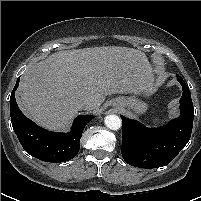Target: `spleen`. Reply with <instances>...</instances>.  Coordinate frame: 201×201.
<instances>
[{"mask_svg": "<svg viewBox=\"0 0 201 201\" xmlns=\"http://www.w3.org/2000/svg\"><path fill=\"white\" fill-rule=\"evenodd\" d=\"M153 123H154V124L160 123V119H159L158 117L153 118Z\"/></svg>", "mask_w": 201, "mask_h": 201, "instance_id": "1", "label": "spleen"}]
</instances>
